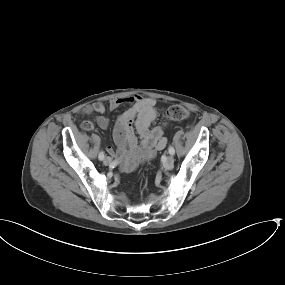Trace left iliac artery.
I'll return each mask as SVG.
<instances>
[{
    "mask_svg": "<svg viewBox=\"0 0 285 285\" xmlns=\"http://www.w3.org/2000/svg\"><path fill=\"white\" fill-rule=\"evenodd\" d=\"M168 151H169V154H171V155L175 154V150L172 146H169Z\"/></svg>",
    "mask_w": 285,
    "mask_h": 285,
    "instance_id": "left-iliac-artery-1",
    "label": "left iliac artery"
}]
</instances>
